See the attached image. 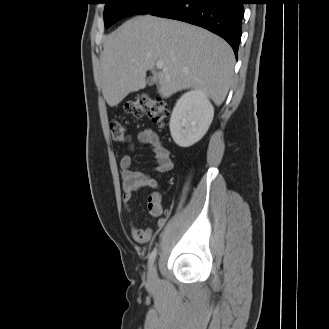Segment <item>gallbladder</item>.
Masks as SVG:
<instances>
[{
	"label": "gallbladder",
	"instance_id": "bac80fb5",
	"mask_svg": "<svg viewBox=\"0 0 329 329\" xmlns=\"http://www.w3.org/2000/svg\"><path fill=\"white\" fill-rule=\"evenodd\" d=\"M147 83H148L149 86H152L154 84V79L152 77H149L147 79Z\"/></svg>",
	"mask_w": 329,
	"mask_h": 329
}]
</instances>
